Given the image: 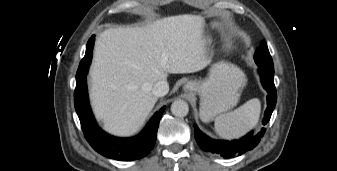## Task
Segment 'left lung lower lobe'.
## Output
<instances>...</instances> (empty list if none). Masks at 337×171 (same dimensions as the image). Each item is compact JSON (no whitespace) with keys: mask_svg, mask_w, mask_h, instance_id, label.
<instances>
[{"mask_svg":"<svg viewBox=\"0 0 337 171\" xmlns=\"http://www.w3.org/2000/svg\"><path fill=\"white\" fill-rule=\"evenodd\" d=\"M258 72L261 77V82L263 87L268 92L267 96V108L263 118V125H266L272 112L276 105L277 93L274 85V68L264 67L258 65ZM195 138L198 145L205 151L213 153L217 156H222L224 158H231L237 155H242L243 153L252 150L260 142L261 137L264 135L266 129L262 128L259 133L252 135V132L247 134L245 137L239 140L229 141H218L213 140L203 134L198 127L194 126Z\"/></svg>","mask_w":337,"mask_h":171,"instance_id":"obj_1","label":"left lung lower lobe"}]
</instances>
